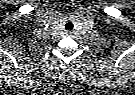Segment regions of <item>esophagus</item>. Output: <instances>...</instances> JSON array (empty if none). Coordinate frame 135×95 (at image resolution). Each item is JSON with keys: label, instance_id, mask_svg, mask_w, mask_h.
<instances>
[{"label": "esophagus", "instance_id": "34e87169", "mask_svg": "<svg viewBox=\"0 0 135 95\" xmlns=\"http://www.w3.org/2000/svg\"><path fill=\"white\" fill-rule=\"evenodd\" d=\"M71 34H72V32H70V31L67 32V35H71Z\"/></svg>", "mask_w": 135, "mask_h": 95}]
</instances>
